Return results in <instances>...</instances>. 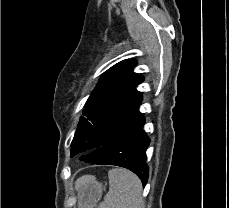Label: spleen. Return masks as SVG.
<instances>
[{
  "label": "spleen",
  "mask_w": 229,
  "mask_h": 208,
  "mask_svg": "<svg viewBox=\"0 0 229 208\" xmlns=\"http://www.w3.org/2000/svg\"><path fill=\"white\" fill-rule=\"evenodd\" d=\"M109 192L100 208H144L141 180L122 168H114L109 174Z\"/></svg>",
  "instance_id": "obj_1"
}]
</instances>
